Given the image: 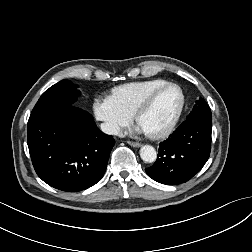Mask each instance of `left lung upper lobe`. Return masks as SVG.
I'll return each instance as SVG.
<instances>
[{
  "mask_svg": "<svg viewBox=\"0 0 252 252\" xmlns=\"http://www.w3.org/2000/svg\"><path fill=\"white\" fill-rule=\"evenodd\" d=\"M195 117L212 118L210 108L202 98L199 101H196V104L194 105L193 110L190 112L187 119Z\"/></svg>",
  "mask_w": 252,
  "mask_h": 252,
  "instance_id": "obj_1",
  "label": "left lung upper lobe"
}]
</instances>
